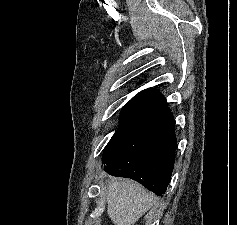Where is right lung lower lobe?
<instances>
[{"instance_id":"98d812e1","label":"right lung lower lobe","mask_w":237,"mask_h":225,"mask_svg":"<svg viewBox=\"0 0 237 225\" xmlns=\"http://www.w3.org/2000/svg\"><path fill=\"white\" fill-rule=\"evenodd\" d=\"M174 126L173 114L165 103L121 125L104 149V171L136 180L162 196L174 167Z\"/></svg>"}]
</instances>
